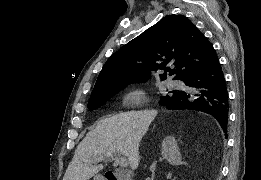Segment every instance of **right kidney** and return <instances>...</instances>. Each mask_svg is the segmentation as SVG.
Segmentation results:
<instances>
[{
    "label": "right kidney",
    "instance_id": "obj_1",
    "mask_svg": "<svg viewBox=\"0 0 261 180\" xmlns=\"http://www.w3.org/2000/svg\"><path fill=\"white\" fill-rule=\"evenodd\" d=\"M161 156L163 160L170 162L172 166H181L183 164L177 142L173 136H167L162 142Z\"/></svg>",
    "mask_w": 261,
    "mask_h": 180
}]
</instances>
